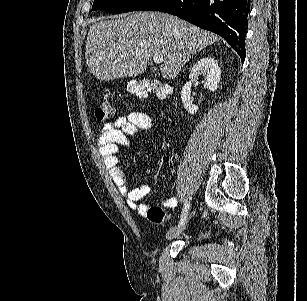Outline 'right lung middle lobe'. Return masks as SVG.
<instances>
[{
	"label": "right lung middle lobe",
	"mask_w": 307,
	"mask_h": 301,
	"mask_svg": "<svg viewBox=\"0 0 307 301\" xmlns=\"http://www.w3.org/2000/svg\"><path fill=\"white\" fill-rule=\"evenodd\" d=\"M153 0H94L92 10H104L118 14L129 11L142 10Z\"/></svg>",
	"instance_id": "right-lung-middle-lobe-1"
}]
</instances>
